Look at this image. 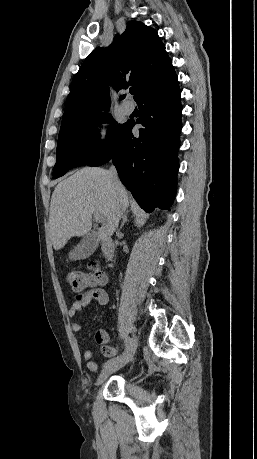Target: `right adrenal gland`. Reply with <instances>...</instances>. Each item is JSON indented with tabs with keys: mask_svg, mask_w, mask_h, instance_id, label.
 <instances>
[{
	"mask_svg": "<svg viewBox=\"0 0 257 459\" xmlns=\"http://www.w3.org/2000/svg\"><path fill=\"white\" fill-rule=\"evenodd\" d=\"M128 213H129L128 211H125L121 215L122 222H121V225H120V230L123 228L124 224L128 221Z\"/></svg>",
	"mask_w": 257,
	"mask_h": 459,
	"instance_id": "right-adrenal-gland-1",
	"label": "right adrenal gland"
}]
</instances>
